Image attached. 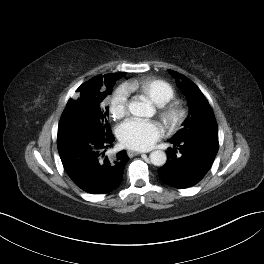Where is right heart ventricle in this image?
<instances>
[{
	"label": "right heart ventricle",
	"instance_id": "e07e8e85",
	"mask_svg": "<svg viewBox=\"0 0 264 264\" xmlns=\"http://www.w3.org/2000/svg\"><path fill=\"white\" fill-rule=\"evenodd\" d=\"M128 91H136L149 98L153 103L163 106L175 96V90L170 83L157 78H141L127 83Z\"/></svg>",
	"mask_w": 264,
	"mask_h": 264
}]
</instances>
